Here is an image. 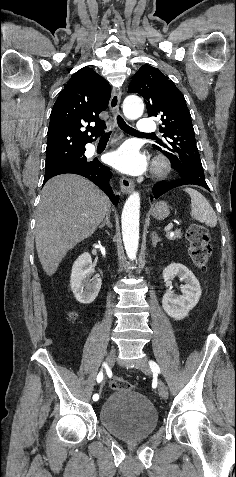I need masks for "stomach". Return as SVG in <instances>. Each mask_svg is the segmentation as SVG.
I'll list each match as a JSON object with an SVG mask.
<instances>
[{"mask_svg": "<svg viewBox=\"0 0 236 477\" xmlns=\"http://www.w3.org/2000/svg\"><path fill=\"white\" fill-rule=\"evenodd\" d=\"M151 214L154 218L163 220L169 215V206L166 202L160 201L152 208Z\"/></svg>", "mask_w": 236, "mask_h": 477, "instance_id": "1", "label": "stomach"}]
</instances>
